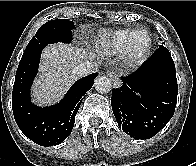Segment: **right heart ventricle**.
Here are the masks:
<instances>
[{"mask_svg": "<svg viewBox=\"0 0 196 166\" xmlns=\"http://www.w3.org/2000/svg\"><path fill=\"white\" fill-rule=\"evenodd\" d=\"M131 29H115L100 35L95 42V49L102 54L123 55L127 47V37Z\"/></svg>", "mask_w": 196, "mask_h": 166, "instance_id": "right-heart-ventricle-1", "label": "right heart ventricle"}]
</instances>
